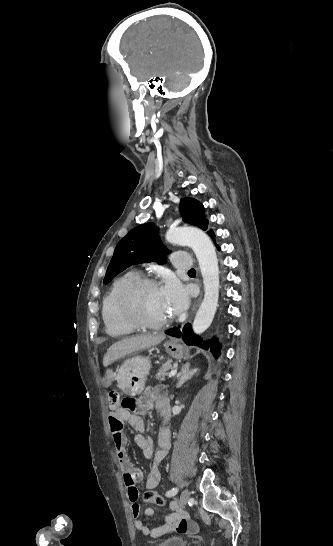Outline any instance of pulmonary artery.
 <instances>
[{
  "instance_id": "e3ab8cb5",
  "label": "pulmonary artery",
  "mask_w": 333,
  "mask_h": 546,
  "mask_svg": "<svg viewBox=\"0 0 333 546\" xmlns=\"http://www.w3.org/2000/svg\"><path fill=\"white\" fill-rule=\"evenodd\" d=\"M172 264L178 269L188 270L191 267V261L187 254L183 252H174L171 256Z\"/></svg>"
}]
</instances>
